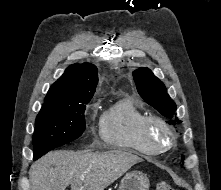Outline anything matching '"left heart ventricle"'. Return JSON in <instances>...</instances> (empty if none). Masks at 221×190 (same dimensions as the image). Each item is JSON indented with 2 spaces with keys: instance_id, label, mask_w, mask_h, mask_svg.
<instances>
[{
  "instance_id": "b2bd125f",
  "label": "left heart ventricle",
  "mask_w": 221,
  "mask_h": 190,
  "mask_svg": "<svg viewBox=\"0 0 221 190\" xmlns=\"http://www.w3.org/2000/svg\"><path fill=\"white\" fill-rule=\"evenodd\" d=\"M152 138L159 142V143H163L167 140V136L164 133V131L157 125H155L152 129Z\"/></svg>"
}]
</instances>
